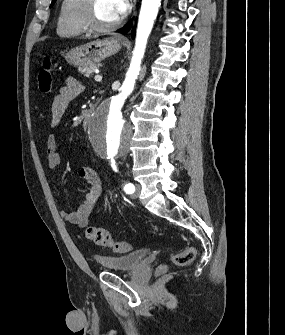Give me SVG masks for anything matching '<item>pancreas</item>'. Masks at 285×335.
<instances>
[{
	"instance_id": "1",
	"label": "pancreas",
	"mask_w": 285,
	"mask_h": 335,
	"mask_svg": "<svg viewBox=\"0 0 285 335\" xmlns=\"http://www.w3.org/2000/svg\"><path fill=\"white\" fill-rule=\"evenodd\" d=\"M98 68V64H90V66H83V68H80L79 72L80 74H84L87 78H90L92 76V72H94V70H98Z\"/></svg>"
}]
</instances>
